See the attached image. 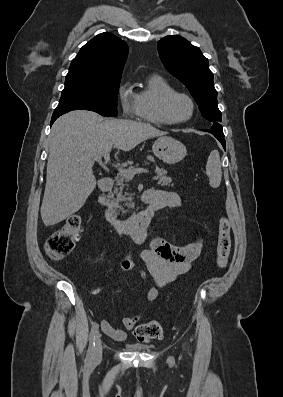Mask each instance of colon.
Instances as JSON below:
<instances>
[{
	"mask_svg": "<svg viewBox=\"0 0 283 397\" xmlns=\"http://www.w3.org/2000/svg\"><path fill=\"white\" fill-rule=\"evenodd\" d=\"M82 231V218L79 214L70 215L63 226L55 231L46 241L45 250L50 259L59 261L74 249ZM231 252V223L225 216L218 224L217 259L220 269L228 263ZM163 327L158 321H149L138 325L134 330L135 338L140 342L160 340L163 338Z\"/></svg>",
	"mask_w": 283,
	"mask_h": 397,
	"instance_id": "1",
	"label": "colon"
}]
</instances>
